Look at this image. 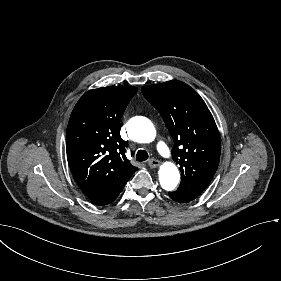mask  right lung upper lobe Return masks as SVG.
Instances as JSON below:
<instances>
[{
	"instance_id": "right-lung-upper-lobe-1",
	"label": "right lung upper lobe",
	"mask_w": 281,
	"mask_h": 281,
	"mask_svg": "<svg viewBox=\"0 0 281 281\" xmlns=\"http://www.w3.org/2000/svg\"><path fill=\"white\" fill-rule=\"evenodd\" d=\"M137 92L132 86H110L86 92L75 105L66 132L68 164L91 199L128 181L137 168L125 156L119 132L121 117Z\"/></svg>"
}]
</instances>
